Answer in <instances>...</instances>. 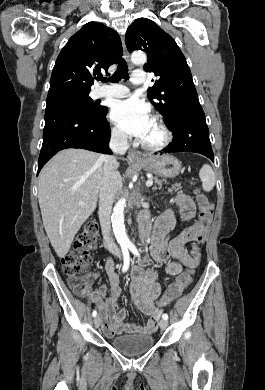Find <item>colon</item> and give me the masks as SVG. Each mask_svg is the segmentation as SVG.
<instances>
[{"label": "colon", "instance_id": "obj_1", "mask_svg": "<svg viewBox=\"0 0 265 390\" xmlns=\"http://www.w3.org/2000/svg\"><path fill=\"white\" fill-rule=\"evenodd\" d=\"M197 201L200 208V220L207 221L211 215L213 204L205 195L197 192ZM98 225L90 222L82 233L77 236L71 250L62 259V270L67 281L77 295L85 296L90 291L89 269L92 263L91 251L96 247ZM193 270L179 275L170 285L168 291L158 300L161 307L175 300L190 284Z\"/></svg>", "mask_w": 265, "mask_h": 390}]
</instances>
